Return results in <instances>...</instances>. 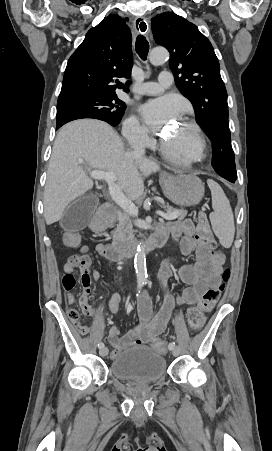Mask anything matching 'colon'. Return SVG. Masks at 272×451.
Listing matches in <instances>:
<instances>
[{"mask_svg": "<svg viewBox=\"0 0 272 451\" xmlns=\"http://www.w3.org/2000/svg\"><path fill=\"white\" fill-rule=\"evenodd\" d=\"M199 241L206 245L210 249L211 258H222L225 252L222 249H216V243L213 238L212 233L209 229V223L204 212L200 213L199 216ZM63 239H65L66 247L68 250H75L78 243V236L76 230H63ZM90 257L85 253H77L70 255L68 257L66 267L68 274H61L60 281L62 289H77L78 282L75 280L74 274L71 272L75 269L87 270L90 266ZM230 269L227 268L223 272L222 279L226 281L230 276ZM225 289V283H222L216 288H211L207 290L203 297L199 307H191L187 311V320L193 330H198L201 328L204 322V312L210 311L219 301L222 293ZM82 312L87 314L90 312L89 306H84ZM69 318L76 322L79 318V312L76 309H71L68 312ZM81 332H87L86 327L80 328ZM153 350L160 351L162 354H167L171 350L170 342H154Z\"/></svg>", "mask_w": 272, "mask_h": 451, "instance_id": "1", "label": "colon"}]
</instances>
